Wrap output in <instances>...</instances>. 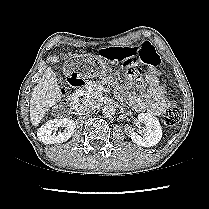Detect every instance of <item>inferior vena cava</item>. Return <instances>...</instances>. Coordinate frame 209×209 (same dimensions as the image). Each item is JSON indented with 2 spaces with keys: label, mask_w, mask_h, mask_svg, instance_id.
<instances>
[{
  "label": "inferior vena cava",
  "mask_w": 209,
  "mask_h": 209,
  "mask_svg": "<svg viewBox=\"0 0 209 209\" xmlns=\"http://www.w3.org/2000/svg\"><path fill=\"white\" fill-rule=\"evenodd\" d=\"M96 102L91 98H83L79 103V108L82 111H89L95 106Z\"/></svg>",
  "instance_id": "inferior-vena-cava-1"
}]
</instances>
